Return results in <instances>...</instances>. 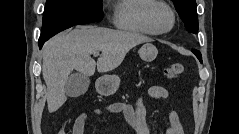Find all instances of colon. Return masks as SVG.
Wrapping results in <instances>:
<instances>
[{"label": "colon", "mask_w": 239, "mask_h": 134, "mask_svg": "<svg viewBox=\"0 0 239 134\" xmlns=\"http://www.w3.org/2000/svg\"><path fill=\"white\" fill-rule=\"evenodd\" d=\"M184 73V67L181 63H170L164 70V74L169 80L179 79Z\"/></svg>", "instance_id": "obj_1"}]
</instances>
